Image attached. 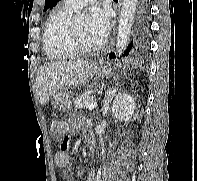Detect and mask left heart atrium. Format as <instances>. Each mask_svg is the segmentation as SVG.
<instances>
[{"instance_id": "39dd6f15", "label": "left heart atrium", "mask_w": 197, "mask_h": 181, "mask_svg": "<svg viewBox=\"0 0 197 181\" xmlns=\"http://www.w3.org/2000/svg\"><path fill=\"white\" fill-rule=\"evenodd\" d=\"M87 29L97 41L102 42L109 31L108 12L98 6L92 7L89 11Z\"/></svg>"}]
</instances>
